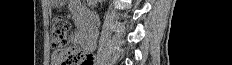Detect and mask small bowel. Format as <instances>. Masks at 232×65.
I'll use <instances>...</instances> for the list:
<instances>
[{
    "instance_id": "c3829d8e",
    "label": "small bowel",
    "mask_w": 232,
    "mask_h": 65,
    "mask_svg": "<svg viewBox=\"0 0 232 65\" xmlns=\"http://www.w3.org/2000/svg\"><path fill=\"white\" fill-rule=\"evenodd\" d=\"M72 42L73 43H79L80 42V36L79 35H74L72 37Z\"/></svg>"
}]
</instances>
